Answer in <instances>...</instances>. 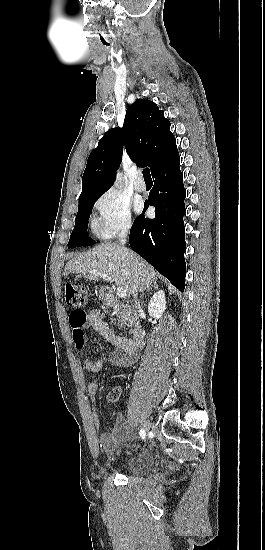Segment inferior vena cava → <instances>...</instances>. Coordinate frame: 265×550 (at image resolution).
Wrapping results in <instances>:
<instances>
[{
  "label": "inferior vena cava",
  "mask_w": 265,
  "mask_h": 550,
  "mask_svg": "<svg viewBox=\"0 0 265 550\" xmlns=\"http://www.w3.org/2000/svg\"><path fill=\"white\" fill-rule=\"evenodd\" d=\"M129 229H130V226L126 227L125 229H123L121 231V233L119 234V242L124 245L126 243V238L128 237V234H129ZM137 293H138V286L135 285L134 286V290H133V296L135 298V300L137 299ZM137 309L140 311L141 308L140 306L138 305Z\"/></svg>",
  "instance_id": "inferior-vena-cava-1"
}]
</instances>
